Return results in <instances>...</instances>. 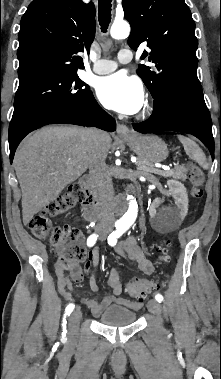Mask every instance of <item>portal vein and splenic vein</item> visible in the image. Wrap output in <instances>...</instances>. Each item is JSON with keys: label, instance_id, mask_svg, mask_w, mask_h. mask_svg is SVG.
Listing matches in <instances>:
<instances>
[{"label": "portal vein and splenic vein", "instance_id": "1", "mask_svg": "<svg viewBox=\"0 0 221 379\" xmlns=\"http://www.w3.org/2000/svg\"><path fill=\"white\" fill-rule=\"evenodd\" d=\"M133 163H137L136 160H132ZM138 169H143V170H146L148 172H151V173H155V174H160L161 172L163 171H171L170 167L169 166H160V168H146L144 166H138L137 167Z\"/></svg>", "mask_w": 221, "mask_h": 379}]
</instances>
